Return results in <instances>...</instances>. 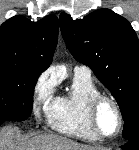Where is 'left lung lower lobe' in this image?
I'll use <instances>...</instances> for the list:
<instances>
[{
    "label": "left lung lower lobe",
    "instance_id": "0a47b994",
    "mask_svg": "<svg viewBox=\"0 0 139 150\" xmlns=\"http://www.w3.org/2000/svg\"><path fill=\"white\" fill-rule=\"evenodd\" d=\"M121 148L123 150H139V139L127 140Z\"/></svg>",
    "mask_w": 139,
    "mask_h": 150
}]
</instances>
